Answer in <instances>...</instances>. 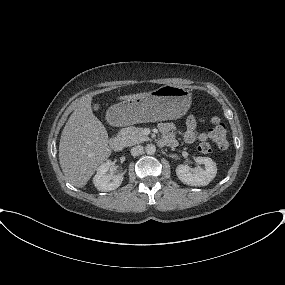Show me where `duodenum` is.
<instances>
[{"label": "duodenum", "mask_w": 285, "mask_h": 285, "mask_svg": "<svg viewBox=\"0 0 285 285\" xmlns=\"http://www.w3.org/2000/svg\"><path fill=\"white\" fill-rule=\"evenodd\" d=\"M113 142H114V146L117 149H120L123 147L124 141L121 137H115Z\"/></svg>", "instance_id": "1"}]
</instances>
